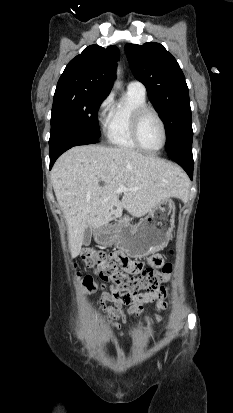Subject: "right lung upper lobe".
I'll return each instance as SVG.
<instances>
[{
	"label": "right lung upper lobe",
	"mask_w": 233,
	"mask_h": 413,
	"mask_svg": "<svg viewBox=\"0 0 233 413\" xmlns=\"http://www.w3.org/2000/svg\"><path fill=\"white\" fill-rule=\"evenodd\" d=\"M118 59L116 46H88L68 63L56 89L73 88L108 95L115 79L113 69Z\"/></svg>",
	"instance_id": "1"
}]
</instances>
